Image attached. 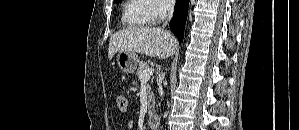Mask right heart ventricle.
<instances>
[{
  "label": "right heart ventricle",
  "instance_id": "obj_1",
  "mask_svg": "<svg viewBox=\"0 0 299 130\" xmlns=\"http://www.w3.org/2000/svg\"><path fill=\"white\" fill-rule=\"evenodd\" d=\"M152 4L149 0H129L126 2L122 20L129 26H148L152 19Z\"/></svg>",
  "mask_w": 299,
  "mask_h": 130
}]
</instances>
